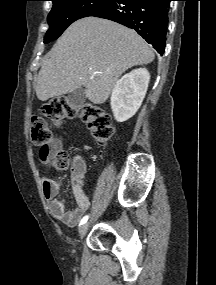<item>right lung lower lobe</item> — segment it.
<instances>
[{
	"instance_id": "98d812e1",
	"label": "right lung lower lobe",
	"mask_w": 216,
	"mask_h": 285,
	"mask_svg": "<svg viewBox=\"0 0 216 285\" xmlns=\"http://www.w3.org/2000/svg\"><path fill=\"white\" fill-rule=\"evenodd\" d=\"M171 0H112L88 16L109 19L137 31L158 53H164Z\"/></svg>"
}]
</instances>
